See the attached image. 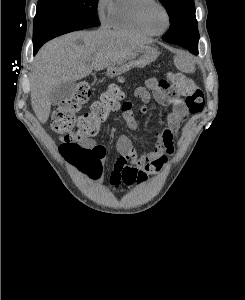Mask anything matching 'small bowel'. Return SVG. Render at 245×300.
Wrapping results in <instances>:
<instances>
[{
    "label": "small bowel",
    "mask_w": 245,
    "mask_h": 300,
    "mask_svg": "<svg viewBox=\"0 0 245 300\" xmlns=\"http://www.w3.org/2000/svg\"><path fill=\"white\" fill-rule=\"evenodd\" d=\"M153 98L160 104L171 105L172 110L167 117L166 126L157 133L154 149L138 152L127 135H120L116 142L117 157L110 172V184L117 190L122 184L131 186L146 178L149 174L159 171L167 162L168 156L173 153V141L177 136L181 124L188 117V108L180 99L178 93L166 82L150 78L145 86L135 89L134 95L140 104L126 101L120 106L122 118L131 130L139 127L135 111L139 114L146 112V104ZM83 145L97 152L98 160H105V148L90 139Z\"/></svg>",
    "instance_id": "obj_1"
}]
</instances>
